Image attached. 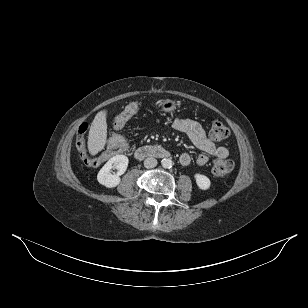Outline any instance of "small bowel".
<instances>
[{"mask_svg":"<svg viewBox=\"0 0 308 308\" xmlns=\"http://www.w3.org/2000/svg\"><path fill=\"white\" fill-rule=\"evenodd\" d=\"M173 128L181 133L187 135L191 143L199 149L200 153L196 157L198 165H205L209 160V155L226 158L228 156L227 148L223 146H217L207 136L204 128L200 123L192 119L177 118L173 121ZM180 163L184 166L189 165L191 157L188 153H182L180 155Z\"/></svg>","mask_w":308,"mask_h":308,"instance_id":"c3829d8e","label":"small bowel"}]
</instances>
